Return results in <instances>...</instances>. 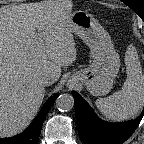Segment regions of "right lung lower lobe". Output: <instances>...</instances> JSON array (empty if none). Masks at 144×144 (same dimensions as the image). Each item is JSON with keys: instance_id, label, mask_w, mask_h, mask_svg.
Here are the masks:
<instances>
[{"instance_id": "1", "label": "right lung lower lobe", "mask_w": 144, "mask_h": 144, "mask_svg": "<svg viewBox=\"0 0 144 144\" xmlns=\"http://www.w3.org/2000/svg\"><path fill=\"white\" fill-rule=\"evenodd\" d=\"M57 97L56 94L46 101L36 118L23 133L11 138L0 139V144H37L43 121Z\"/></svg>"}]
</instances>
